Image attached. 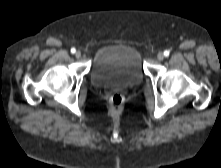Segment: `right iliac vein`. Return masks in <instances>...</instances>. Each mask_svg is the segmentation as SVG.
<instances>
[{
	"mask_svg": "<svg viewBox=\"0 0 221 168\" xmlns=\"http://www.w3.org/2000/svg\"><path fill=\"white\" fill-rule=\"evenodd\" d=\"M75 56H76V58H80L81 57V52L80 51H76Z\"/></svg>",
	"mask_w": 221,
	"mask_h": 168,
	"instance_id": "obj_1",
	"label": "right iliac vein"
}]
</instances>
